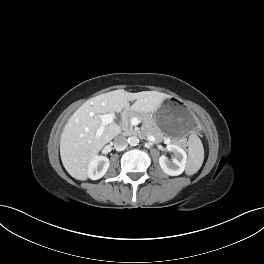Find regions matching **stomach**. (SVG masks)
Here are the masks:
<instances>
[{
	"instance_id": "0dacf381",
	"label": "stomach",
	"mask_w": 264,
	"mask_h": 264,
	"mask_svg": "<svg viewBox=\"0 0 264 264\" xmlns=\"http://www.w3.org/2000/svg\"><path fill=\"white\" fill-rule=\"evenodd\" d=\"M153 121L167 135L179 136L189 132L192 116L180 98H172L153 115Z\"/></svg>"
}]
</instances>
